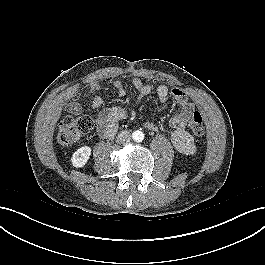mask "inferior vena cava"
<instances>
[{"instance_id":"1","label":"inferior vena cava","mask_w":265,"mask_h":265,"mask_svg":"<svg viewBox=\"0 0 265 265\" xmlns=\"http://www.w3.org/2000/svg\"><path fill=\"white\" fill-rule=\"evenodd\" d=\"M130 140H131V134L127 130L121 131L116 137V142L118 144L127 143L130 142Z\"/></svg>"}]
</instances>
